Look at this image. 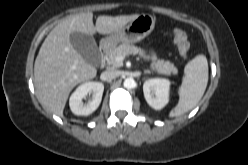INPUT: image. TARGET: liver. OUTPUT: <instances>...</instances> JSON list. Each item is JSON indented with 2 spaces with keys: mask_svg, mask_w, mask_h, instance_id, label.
<instances>
[{
  "mask_svg": "<svg viewBox=\"0 0 248 165\" xmlns=\"http://www.w3.org/2000/svg\"><path fill=\"white\" fill-rule=\"evenodd\" d=\"M138 16H99L94 26L93 13L87 12L68 16L57 24L44 40L34 64V85L43 108L62 116L71 90L96 76V68L72 46V32L111 34Z\"/></svg>",
  "mask_w": 248,
  "mask_h": 165,
  "instance_id": "1",
  "label": "liver"
}]
</instances>
